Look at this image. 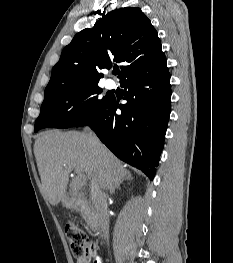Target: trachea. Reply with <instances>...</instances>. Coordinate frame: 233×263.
Listing matches in <instances>:
<instances>
[{
    "label": "trachea",
    "mask_w": 233,
    "mask_h": 263,
    "mask_svg": "<svg viewBox=\"0 0 233 263\" xmlns=\"http://www.w3.org/2000/svg\"><path fill=\"white\" fill-rule=\"evenodd\" d=\"M113 73H114V74H118V73H119V70L116 69V70L113 71Z\"/></svg>",
    "instance_id": "trachea-1"
}]
</instances>
